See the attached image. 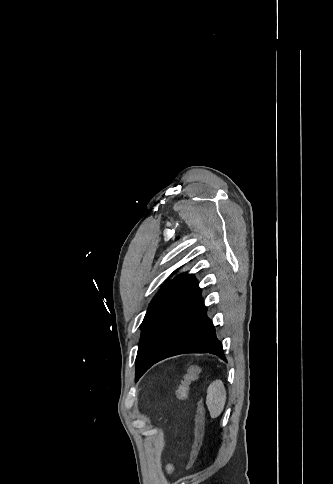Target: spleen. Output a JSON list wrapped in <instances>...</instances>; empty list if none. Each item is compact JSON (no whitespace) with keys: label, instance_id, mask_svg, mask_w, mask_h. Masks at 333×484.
<instances>
[{"label":"spleen","instance_id":"obj_1","mask_svg":"<svg viewBox=\"0 0 333 484\" xmlns=\"http://www.w3.org/2000/svg\"><path fill=\"white\" fill-rule=\"evenodd\" d=\"M226 390L221 380L213 381L207 388L206 405L210 416L213 419L218 418L225 406Z\"/></svg>","mask_w":333,"mask_h":484}]
</instances>
